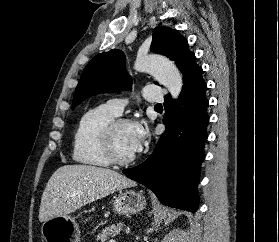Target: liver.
Returning <instances> with one entry per match:
<instances>
[{
  "mask_svg": "<svg viewBox=\"0 0 279 242\" xmlns=\"http://www.w3.org/2000/svg\"><path fill=\"white\" fill-rule=\"evenodd\" d=\"M135 185V182L111 169L89 165L62 166L46 184L41 198L39 221L68 215L117 190Z\"/></svg>",
  "mask_w": 279,
  "mask_h": 242,
  "instance_id": "obj_1",
  "label": "liver"
}]
</instances>
